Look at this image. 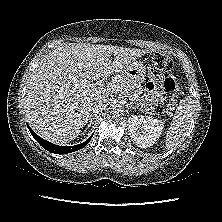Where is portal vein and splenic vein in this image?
I'll return each mask as SVG.
<instances>
[{"instance_id": "1", "label": "portal vein and splenic vein", "mask_w": 222, "mask_h": 222, "mask_svg": "<svg viewBox=\"0 0 222 222\" xmlns=\"http://www.w3.org/2000/svg\"><path fill=\"white\" fill-rule=\"evenodd\" d=\"M80 86H82L84 88L85 87H92V88L99 87V88H101L104 86V84H103V82H96V83L83 82L80 84ZM112 90L113 91H122V93H127L126 89H122L119 86H115V85L112 87Z\"/></svg>"}]
</instances>
